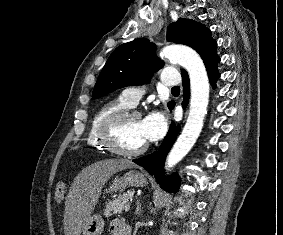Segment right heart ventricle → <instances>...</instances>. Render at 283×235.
Wrapping results in <instances>:
<instances>
[{"label": "right heart ventricle", "instance_id": "obj_1", "mask_svg": "<svg viewBox=\"0 0 283 235\" xmlns=\"http://www.w3.org/2000/svg\"><path fill=\"white\" fill-rule=\"evenodd\" d=\"M130 105L122 97L104 102L93 114L87 132V145L89 148L103 150L105 147L101 143L98 131L103 120L112 113L129 108Z\"/></svg>", "mask_w": 283, "mask_h": 235}]
</instances>
